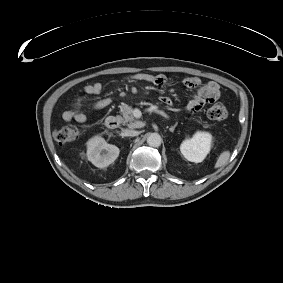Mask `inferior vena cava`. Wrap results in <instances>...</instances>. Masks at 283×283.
<instances>
[{
	"label": "inferior vena cava",
	"instance_id": "602c4592",
	"mask_svg": "<svg viewBox=\"0 0 283 283\" xmlns=\"http://www.w3.org/2000/svg\"><path fill=\"white\" fill-rule=\"evenodd\" d=\"M123 134L125 135V136H137V135H139V132L138 131H135V130H132V129H125L124 130V132H123Z\"/></svg>",
	"mask_w": 283,
	"mask_h": 283
}]
</instances>
